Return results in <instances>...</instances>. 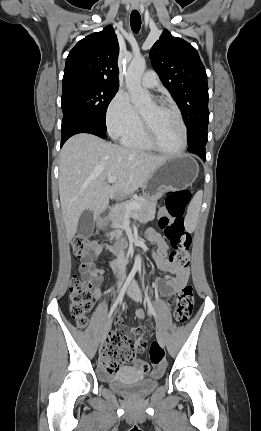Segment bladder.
<instances>
[{
    "mask_svg": "<svg viewBox=\"0 0 261 431\" xmlns=\"http://www.w3.org/2000/svg\"><path fill=\"white\" fill-rule=\"evenodd\" d=\"M160 377V376H159ZM158 377H140L133 368L126 367L109 378L110 388L127 397H142L152 393L158 386Z\"/></svg>",
    "mask_w": 261,
    "mask_h": 431,
    "instance_id": "bladder-1",
    "label": "bladder"
}]
</instances>
